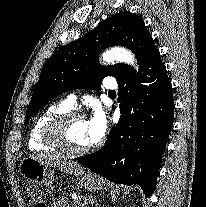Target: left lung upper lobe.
Segmentation results:
<instances>
[{
	"mask_svg": "<svg viewBox=\"0 0 206 207\" xmlns=\"http://www.w3.org/2000/svg\"><path fill=\"white\" fill-rule=\"evenodd\" d=\"M111 45L128 47L140 62L155 44L142 18L131 12L117 13L100 23L82 38L61 47L46 61L27 107L25 124L62 92L76 88L98 90L103 77L114 76L119 81L131 73L133 67L127 64H99L100 51Z\"/></svg>",
	"mask_w": 206,
	"mask_h": 207,
	"instance_id": "1",
	"label": "left lung upper lobe"
}]
</instances>
